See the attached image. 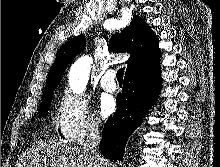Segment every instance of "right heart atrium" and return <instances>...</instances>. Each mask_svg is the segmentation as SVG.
<instances>
[{"label": "right heart atrium", "instance_id": "obj_1", "mask_svg": "<svg viewBox=\"0 0 220 167\" xmlns=\"http://www.w3.org/2000/svg\"><path fill=\"white\" fill-rule=\"evenodd\" d=\"M55 124L59 133L72 144H81L86 137L100 132V123L88 102L80 95L66 92L62 95Z\"/></svg>", "mask_w": 220, "mask_h": 167}]
</instances>
